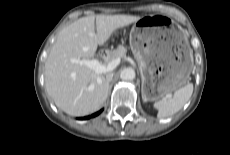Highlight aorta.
<instances>
[{"instance_id":"1","label":"aorta","mask_w":230,"mask_h":155,"mask_svg":"<svg viewBox=\"0 0 230 155\" xmlns=\"http://www.w3.org/2000/svg\"><path fill=\"white\" fill-rule=\"evenodd\" d=\"M120 78L124 81H132L135 78L134 69L124 68L120 73Z\"/></svg>"}]
</instances>
